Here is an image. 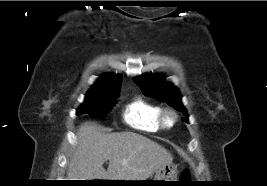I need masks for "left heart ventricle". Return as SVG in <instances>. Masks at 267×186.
Instances as JSON below:
<instances>
[{
  "label": "left heart ventricle",
  "instance_id": "left-heart-ventricle-1",
  "mask_svg": "<svg viewBox=\"0 0 267 186\" xmlns=\"http://www.w3.org/2000/svg\"><path fill=\"white\" fill-rule=\"evenodd\" d=\"M172 120L171 116L167 118V121L170 122Z\"/></svg>",
  "mask_w": 267,
  "mask_h": 186
}]
</instances>
